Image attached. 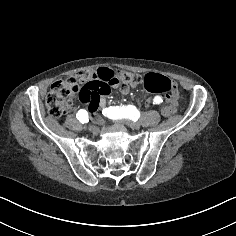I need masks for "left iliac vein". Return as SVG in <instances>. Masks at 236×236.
<instances>
[{"label": "left iliac vein", "instance_id": "1", "mask_svg": "<svg viewBox=\"0 0 236 236\" xmlns=\"http://www.w3.org/2000/svg\"><path fill=\"white\" fill-rule=\"evenodd\" d=\"M139 127H140V124H139V122H137V121H134V122H130V123H129V128H130V129L138 130Z\"/></svg>", "mask_w": 236, "mask_h": 236}]
</instances>
